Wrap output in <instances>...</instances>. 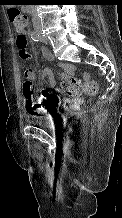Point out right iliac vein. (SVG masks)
I'll use <instances>...</instances> for the list:
<instances>
[{
	"label": "right iliac vein",
	"instance_id": "right-iliac-vein-1",
	"mask_svg": "<svg viewBox=\"0 0 122 218\" xmlns=\"http://www.w3.org/2000/svg\"><path fill=\"white\" fill-rule=\"evenodd\" d=\"M42 40L45 42V43H48V40L46 38H42Z\"/></svg>",
	"mask_w": 122,
	"mask_h": 218
}]
</instances>
